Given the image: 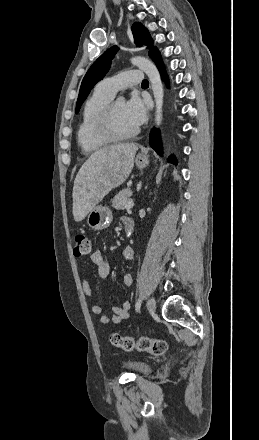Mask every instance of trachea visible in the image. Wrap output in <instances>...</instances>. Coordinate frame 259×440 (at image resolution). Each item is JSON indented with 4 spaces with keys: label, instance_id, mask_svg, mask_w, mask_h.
Segmentation results:
<instances>
[{
    "label": "trachea",
    "instance_id": "1",
    "mask_svg": "<svg viewBox=\"0 0 259 440\" xmlns=\"http://www.w3.org/2000/svg\"><path fill=\"white\" fill-rule=\"evenodd\" d=\"M149 84V82L147 81V80H144L143 82H142V85H148Z\"/></svg>",
    "mask_w": 259,
    "mask_h": 440
}]
</instances>
